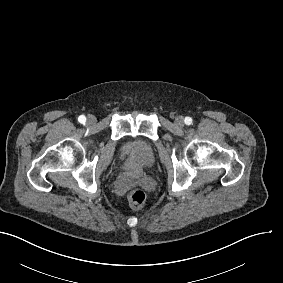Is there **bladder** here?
<instances>
[{
  "label": "bladder",
  "mask_w": 283,
  "mask_h": 283,
  "mask_svg": "<svg viewBox=\"0 0 283 283\" xmlns=\"http://www.w3.org/2000/svg\"><path fill=\"white\" fill-rule=\"evenodd\" d=\"M120 155L135 168V171L128 173L129 178L141 177L156 162L155 145L142 136L124 141L120 146Z\"/></svg>",
  "instance_id": "31cf9c89"
}]
</instances>
